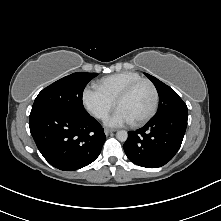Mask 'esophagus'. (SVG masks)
<instances>
[{"mask_svg":"<svg viewBox=\"0 0 221 221\" xmlns=\"http://www.w3.org/2000/svg\"><path fill=\"white\" fill-rule=\"evenodd\" d=\"M115 130H113V129H109V128H106L105 130H104V133L106 134V135H109L110 133H112V132H114Z\"/></svg>","mask_w":221,"mask_h":221,"instance_id":"34e87169","label":"esophagus"}]
</instances>
